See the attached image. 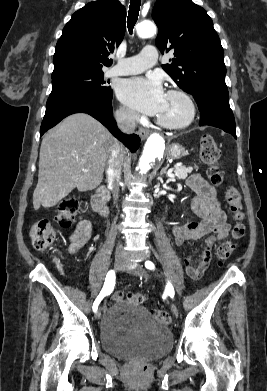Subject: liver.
Wrapping results in <instances>:
<instances>
[{
    "label": "liver",
    "mask_w": 267,
    "mask_h": 391,
    "mask_svg": "<svg viewBox=\"0 0 267 391\" xmlns=\"http://www.w3.org/2000/svg\"><path fill=\"white\" fill-rule=\"evenodd\" d=\"M116 142L100 122L85 113L70 115L49 130L40 147L34 209L56 205L74 188L85 192L98 187Z\"/></svg>",
    "instance_id": "1"
}]
</instances>
